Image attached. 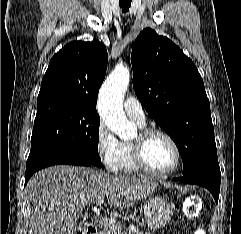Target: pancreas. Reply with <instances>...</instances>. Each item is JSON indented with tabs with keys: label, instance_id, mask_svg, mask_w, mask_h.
<instances>
[{
	"label": "pancreas",
	"instance_id": "1",
	"mask_svg": "<svg viewBox=\"0 0 241 234\" xmlns=\"http://www.w3.org/2000/svg\"><path fill=\"white\" fill-rule=\"evenodd\" d=\"M118 226H120V229H121L120 231H117L109 227V228H103L102 234H124V232L122 231V226L121 225H118ZM145 234H150V233L146 232Z\"/></svg>",
	"mask_w": 241,
	"mask_h": 234
}]
</instances>
